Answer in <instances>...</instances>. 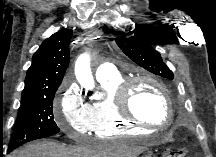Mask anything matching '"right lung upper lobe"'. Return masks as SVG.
<instances>
[{
    "label": "right lung upper lobe",
    "instance_id": "cb5924a9",
    "mask_svg": "<svg viewBox=\"0 0 216 157\" xmlns=\"http://www.w3.org/2000/svg\"><path fill=\"white\" fill-rule=\"evenodd\" d=\"M72 33L59 30L41 44L27 71L21 98L58 89L69 64Z\"/></svg>",
    "mask_w": 216,
    "mask_h": 157
}]
</instances>
